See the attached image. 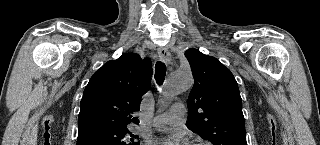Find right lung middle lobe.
<instances>
[{
    "label": "right lung middle lobe",
    "mask_w": 320,
    "mask_h": 145,
    "mask_svg": "<svg viewBox=\"0 0 320 145\" xmlns=\"http://www.w3.org/2000/svg\"><path fill=\"white\" fill-rule=\"evenodd\" d=\"M138 136L127 128L100 129L78 136L77 145L96 143L100 145H139Z\"/></svg>",
    "instance_id": "1"
}]
</instances>
